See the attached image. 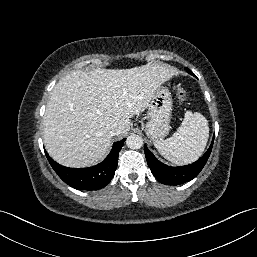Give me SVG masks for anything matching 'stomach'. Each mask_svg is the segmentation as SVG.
<instances>
[{
	"mask_svg": "<svg viewBox=\"0 0 257 257\" xmlns=\"http://www.w3.org/2000/svg\"><path fill=\"white\" fill-rule=\"evenodd\" d=\"M172 107L169 90L162 86L158 87L148 106V122L145 128L146 134L151 140L162 139L169 133Z\"/></svg>",
	"mask_w": 257,
	"mask_h": 257,
	"instance_id": "stomach-1",
	"label": "stomach"
}]
</instances>
